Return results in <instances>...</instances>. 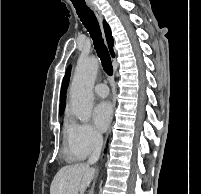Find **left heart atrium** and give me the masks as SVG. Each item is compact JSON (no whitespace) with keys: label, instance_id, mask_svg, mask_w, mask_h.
<instances>
[{"label":"left heart atrium","instance_id":"obj_1","mask_svg":"<svg viewBox=\"0 0 201 194\" xmlns=\"http://www.w3.org/2000/svg\"><path fill=\"white\" fill-rule=\"evenodd\" d=\"M112 114V106L108 102H100L95 106L93 110V120L96 127L100 131H104L107 129L112 119Z\"/></svg>","mask_w":201,"mask_h":194}]
</instances>
